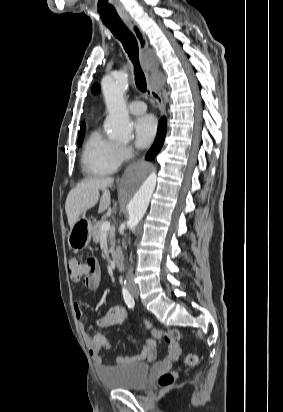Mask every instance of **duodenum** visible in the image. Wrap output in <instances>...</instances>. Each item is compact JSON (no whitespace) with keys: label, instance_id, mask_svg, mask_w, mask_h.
<instances>
[{"label":"duodenum","instance_id":"1","mask_svg":"<svg viewBox=\"0 0 283 412\" xmlns=\"http://www.w3.org/2000/svg\"><path fill=\"white\" fill-rule=\"evenodd\" d=\"M112 261L115 264V267L120 270L122 268L123 265V257H122V253L120 251H115L112 254Z\"/></svg>","mask_w":283,"mask_h":412}]
</instances>
